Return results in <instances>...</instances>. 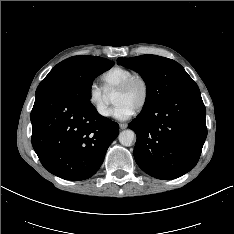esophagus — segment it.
I'll return each mask as SVG.
<instances>
[{
  "label": "esophagus",
  "instance_id": "obj_1",
  "mask_svg": "<svg viewBox=\"0 0 234 234\" xmlns=\"http://www.w3.org/2000/svg\"><path fill=\"white\" fill-rule=\"evenodd\" d=\"M119 126H120L121 129H126L127 128L126 123H120Z\"/></svg>",
  "mask_w": 234,
  "mask_h": 234
}]
</instances>
